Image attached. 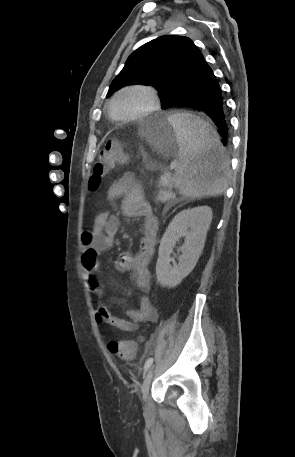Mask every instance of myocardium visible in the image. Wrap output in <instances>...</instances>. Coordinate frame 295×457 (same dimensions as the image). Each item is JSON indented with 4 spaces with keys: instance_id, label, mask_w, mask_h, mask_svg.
<instances>
[{
    "instance_id": "f54148a6",
    "label": "myocardium",
    "mask_w": 295,
    "mask_h": 457,
    "mask_svg": "<svg viewBox=\"0 0 295 457\" xmlns=\"http://www.w3.org/2000/svg\"><path fill=\"white\" fill-rule=\"evenodd\" d=\"M130 91H139V92L144 93L149 100V104L144 110H142L141 112H139L135 115L128 116V117H119L114 112V103L120 95H122L123 93H126V92H130ZM159 107H160V99H159L157 91L153 87L148 86V85L135 84V85L123 87L120 90H118L114 94V96L111 98V100L109 102L108 110H109V114L113 120L118 121V122H131V121L141 120V119H144V118L152 115L159 109Z\"/></svg>"
}]
</instances>
